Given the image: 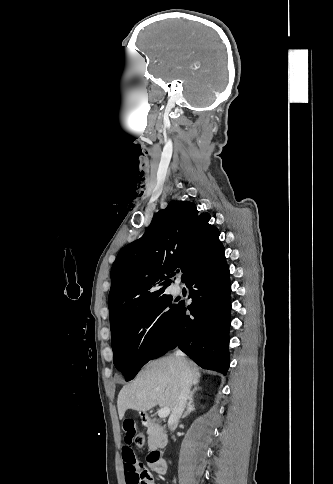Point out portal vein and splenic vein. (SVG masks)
<instances>
[{
    "mask_svg": "<svg viewBox=\"0 0 333 484\" xmlns=\"http://www.w3.org/2000/svg\"><path fill=\"white\" fill-rule=\"evenodd\" d=\"M169 413H170V408L169 407H164V408H162V409L159 410L158 416L160 418H165V417H167L169 415Z\"/></svg>",
    "mask_w": 333,
    "mask_h": 484,
    "instance_id": "18ae733b",
    "label": "portal vein and splenic vein"
}]
</instances>
